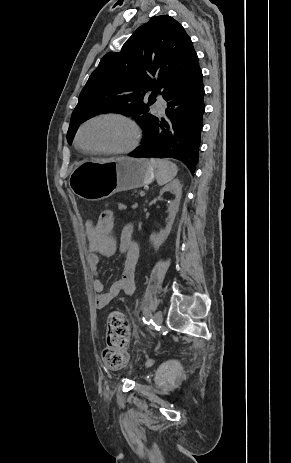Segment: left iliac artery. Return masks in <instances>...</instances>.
I'll return each instance as SVG.
<instances>
[{
  "instance_id": "44dca946",
  "label": "left iliac artery",
  "mask_w": 291,
  "mask_h": 463,
  "mask_svg": "<svg viewBox=\"0 0 291 463\" xmlns=\"http://www.w3.org/2000/svg\"><path fill=\"white\" fill-rule=\"evenodd\" d=\"M150 321H151V314H150L149 310L146 309L144 311L143 322L145 324H149Z\"/></svg>"
}]
</instances>
